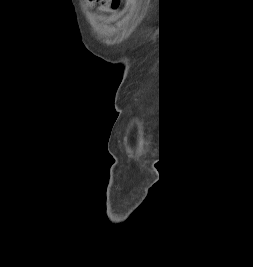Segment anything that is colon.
<instances>
[{
	"label": "colon",
	"mask_w": 253,
	"mask_h": 267,
	"mask_svg": "<svg viewBox=\"0 0 253 267\" xmlns=\"http://www.w3.org/2000/svg\"><path fill=\"white\" fill-rule=\"evenodd\" d=\"M89 5H93L94 3H100L104 6L111 7L113 9H117L120 4L121 0H87Z\"/></svg>",
	"instance_id": "colon-1"
}]
</instances>
